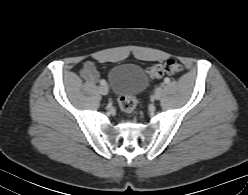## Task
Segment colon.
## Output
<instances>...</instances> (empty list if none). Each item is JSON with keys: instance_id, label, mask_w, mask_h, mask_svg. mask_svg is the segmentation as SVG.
I'll return each instance as SVG.
<instances>
[{"instance_id": "obj_1", "label": "colon", "mask_w": 248, "mask_h": 195, "mask_svg": "<svg viewBox=\"0 0 248 195\" xmlns=\"http://www.w3.org/2000/svg\"><path fill=\"white\" fill-rule=\"evenodd\" d=\"M183 66L176 60H168L162 64L151 66L147 69L149 78H160L166 74L176 75L182 72ZM120 109L127 114H131L136 109V101L133 96L123 94L118 99Z\"/></svg>"}]
</instances>
